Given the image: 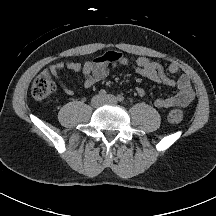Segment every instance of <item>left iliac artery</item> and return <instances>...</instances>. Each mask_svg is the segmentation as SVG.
<instances>
[{"label":"left iliac artery","instance_id":"44dca946","mask_svg":"<svg viewBox=\"0 0 216 216\" xmlns=\"http://www.w3.org/2000/svg\"><path fill=\"white\" fill-rule=\"evenodd\" d=\"M117 100H118L119 102H123V101H124V96H123V95H118V96H117Z\"/></svg>","mask_w":216,"mask_h":216}]
</instances>
